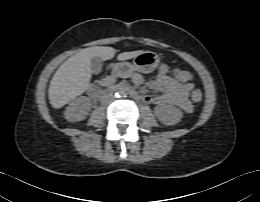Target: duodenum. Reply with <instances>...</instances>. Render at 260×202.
<instances>
[{"label":"duodenum","mask_w":260,"mask_h":202,"mask_svg":"<svg viewBox=\"0 0 260 202\" xmlns=\"http://www.w3.org/2000/svg\"><path fill=\"white\" fill-rule=\"evenodd\" d=\"M105 83L109 84L107 82H105ZM116 89L120 92H126V93L130 94L133 98H136V99L143 98V95L137 93L135 90H133L130 87L118 86V87H116ZM88 93H89V96H91L93 98H97L101 95V92L98 89H96L95 87H90L88 89Z\"/></svg>","instance_id":"duodenum-1"}]
</instances>
